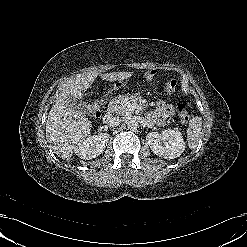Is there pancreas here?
Instances as JSON below:
<instances>
[{"mask_svg":"<svg viewBox=\"0 0 247 247\" xmlns=\"http://www.w3.org/2000/svg\"><path fill=\"white\" fill-rule=\"evenodd\" d=\"M130 105L146 108L148 103L142 97L132 94L113 99L109 105V109L112 113L124 117L133 114L134 109H131Z\"/></svg>","mask_w":247,"mask_h":247,"instance_id":"pancreas-1","label":"pancreas"}]
</instances>
